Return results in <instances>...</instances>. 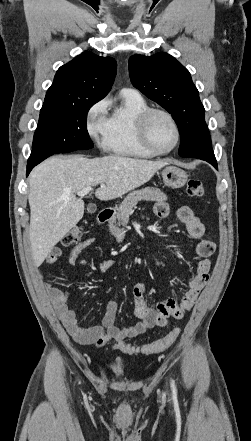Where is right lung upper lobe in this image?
<instances>
[{"instance_id":"1","label":"right lung upper lobe","mask_w":251,"mask_h":441,"mask_svg":"<svg viewBox=\"0 0 251 441\" xmlns=\"http://www.w3.org/2000/svg\"><path fill=\"white\" fill-rule=\"evenodd\" d=\"M116 69L113 58L84 52L58 69L44 103H74L91 97L102 99L111 89Z\"/></svg>"}]
</instances>
